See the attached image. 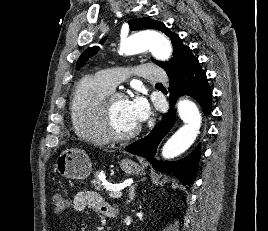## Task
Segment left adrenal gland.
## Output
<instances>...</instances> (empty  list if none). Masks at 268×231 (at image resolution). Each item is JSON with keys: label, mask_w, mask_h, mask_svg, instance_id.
<instances>
[{"label": "left adrenal gland", "mask_w": 268, "mask_h": 231, "mask_svg": "<svg viewBox=\"0 0 268 231\" xmlns=\"http://www.w3.org/2000/svg\"><path fill=\"white\" fill-rule=\"evenodd\" d=\"M135 188L136 184L129 188V200H127L126 204H129L135 198Z\"/></svg>", "instance_id": "obj_1"}]
</instances>
